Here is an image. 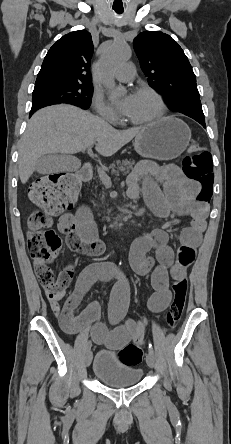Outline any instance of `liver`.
Segmentation results:
<instances>
[{"label":"liver","mask_w":231,"mask_h":444,"mask_svg":"<svg viewBox=\"0 0 231 444\" xmlns=\"http://www.w3.org/2000/svg\"><path fill=\"white\" fill-rule=\"evenodd\" d=\"M145 127L116 130L101 118L67 104L40 109L29 120L19 143L20 180L23 184L28 181L43 155H72L96 144V151L109 157Z\"/></svg>","instance_id":"6515ba94"}]
</instances>
